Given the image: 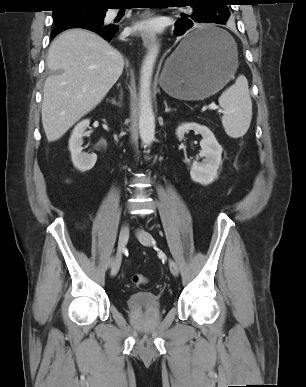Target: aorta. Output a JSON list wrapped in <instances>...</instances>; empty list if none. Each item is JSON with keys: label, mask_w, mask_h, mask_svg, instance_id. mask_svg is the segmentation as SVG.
Here are the masks:
<instances>
[{"label": "aorta", "mask_w": 306, "mask_h": 387, "mask_svg": "<svg viewBox=\"0 0 306 387\" xmlns=\"http://www.w3.org/2000/svg\"><path fill=\"white\" fill-rule=\"evenodd\" d=\"M159 54V44H154L144 57L140 71L139 133L142 143L150 146L154 141L155 117L152 107L150 84L153 68Z\"/></svg>", "instance_id": "762f6f07"}]
</instances>
